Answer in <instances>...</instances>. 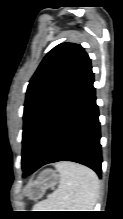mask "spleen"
I'll return each instance as SVG.
<instances>
[{
    "label": "spleen",
    "instance_id": "3e777b00",
    "mask_svg": "<svg viewBox=\"0 0 123 219\" xmlns=\"http://www.w3.org/2000/svg\"><path fill=\"white\" fill-rule=\"evenodd\" d=\"M60 175L58 188L38 203L41 211H93L99 193L96 173L73 162L55 165Z\"/></svg>",
    "mask_w": 123,
    "mask_h": 219
}]
</instances>
